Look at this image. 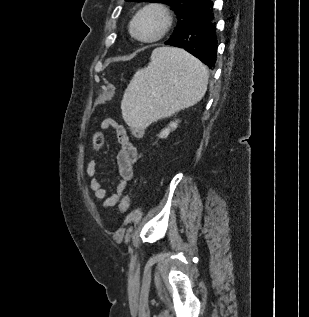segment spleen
<instances>
[{
  "label": "spleen",
  "instance_id": "3e777b00",
  "mask_svg": "<svg viewBox=\"0 0 309 317\" xmlns=\"http://www.w3.org/2000/svg\"><path fill=\"white\" fill-rule=\"evenodd\" d=\"M208 70L197 58L174 47L153 50L147 67L130 81L121 102L125 122L147 127L197 104L205 95Z\"/></svg>",
  "mask_w": 309,
  "mask_h": 317
}]
</instances>
